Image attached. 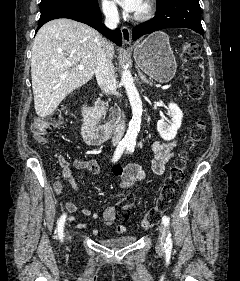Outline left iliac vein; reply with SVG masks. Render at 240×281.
Listing matches in <instances>:
<instances>
[{"label": "left iliac vein", "mask_w": 240, "mask_h": 281, "mask_svg": "<svg viewBox=\"0 0 240 281\" xmlns=\"http://www.w3.org/2000/svg\"><path fill=\"white\" fill-rule=\"evenodd\" d=\"M165 238H166V226L164 225V223H161L159 225V238L156 245V250L158 253L164 252Z\"/></svg>", "instance_id": "obj_1"}]
</instances>
